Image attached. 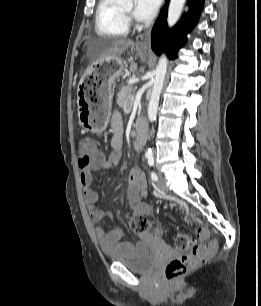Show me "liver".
<instances>
[{"label":"liver","instance_id":"6515ba94","mask_svg":"<svg viewBox=\"0 0 261 306\" xmlns=\"http://www.w3.org/2000/svg\"><path fill=\"white\" fill-rule=\"evenodd\" d=\"M129 47H134V42L129 39H116L109 41L105 44V47L100 53V59L112 58L120 55ZM137 70V64L132 62L130 65V71L135 72Z\"/></svg>","mask_w":261,"mask_h":306}]
</instances>
